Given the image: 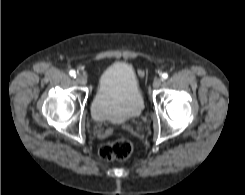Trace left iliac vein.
<instances>
[{
	"instance_id": "obj_1",
	"label": "left iliac vein",
	"mask_w": 245,
	"mask_h": 195,
	"mask_svg": "<svg viewBox=\"0 0 245 195\" xmlns=\"http://www.w3.org/2000/svg\"><path fill=\"white\" fill-rule=\"evenodd\" d=\"M162 78H155L153 81V88H159L162 84Z\"/></svg>"
}]
</instances>
